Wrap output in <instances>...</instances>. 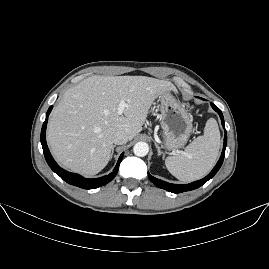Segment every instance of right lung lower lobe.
Masks as SVG:
<instances>
[{
  "label": "right lung lower lobe",
  "mask_w": 269,
  "mask_h": 269,
  "mask_svg": "<svg viewBox=\"0 0 269 269\" xmlns=\"http://www.w3.org/2000/svg\"><path fill=\"white\" fill-rule=\"evenodd\" d=\"M52 108H53V106H50V108L47 111L46 119H45L43 126H42L41 138H40L42 148H43V153H44L45 159H46L48 165L50 166V168L67 183L74 185V186H77V187H80V188H83V189H95V188H98V187L103 186V185L107 184L108 182H110L116 176V174L118 172L119 164L123 158V153L120 155L118 162L114 168V171L112 173H110L109 175H106V176H103L100 178L87 179V178H84L78 174L67 172L58 166V164L55 162V160L51 156L50 151L48 149V146L46 144V125H47V121H48V116H49Z\"/></svg>",
  "instance_id": "obj_1"
}]
</instances>
